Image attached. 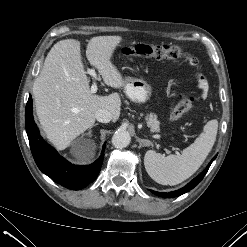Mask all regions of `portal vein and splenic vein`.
I'll list each match as a JSON object with an SVG mask.
<instances>
[{"instance_id":"portal-vein-and-splenic-vein-1","label":"portal vein and splenic vein","mask_w":247,"mask_h":247,"mask_svg":"<svg viewBox=\"0 0 247 247\" xmlns=\"http://www.w3.org/2000/svg\"><path fill=\"white\" fill-rule=\"evenodd\" d=\"M88 73L91 75V76H93L94 78H97L96 77V73H95V71L94 70H88ZM97 84L95 83V82H93V84H92V86H91V93L92 94H94V93H96L97 92Z\"/></svg>"}]
</instances>
